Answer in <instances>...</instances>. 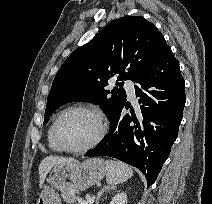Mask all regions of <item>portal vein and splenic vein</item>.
I'll use <instances>...</instances> for the list:
<instances>
[{
	"label": "portal vein and splenic vein",
	"mask_w": 212,
	"mask_h": 204,
	"mask_svg": "<svg viewBox=\"0 0 212 204\" xmlns=\"http://www.w3.org/2000/svg\"><path fill=\"white\" fill-rule=\"evenodd\" d=\"M95 200V196L88 198L87 200L78 199L80 204H93Z\"/></svg>",
	"instance_id": "portal-vein-and-splenic-vein-1"
}]
</instances>
